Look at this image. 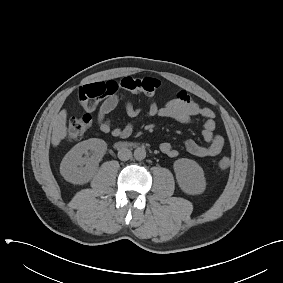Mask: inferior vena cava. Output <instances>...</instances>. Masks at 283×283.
Masks as SVG:
<instances>
[{
  "mask_svg": "<svg viewBox=\"0 0 283 283\" xmlns=\"http://www.w3.org/2000/svg\"><path fill=\"white\" fill-rule=\"evenodd\" d=\"M132 157V152L128 148H121L118 151V158L121 161H127Z\"/></svg>",
  "mask_w": 283,
  "mask_h": 283,
  "instance_id": "inferior-vena-cava-1",
  "label": "inferior vena cava"
}]
</instances>
